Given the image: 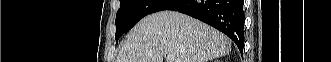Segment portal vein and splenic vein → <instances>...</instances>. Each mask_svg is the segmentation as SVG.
Returning <instances> with one entry per match:
<instances>
[{
	"label": "portal vein and splenic vein",
	"instance_id": "1",
	"mask_svg": "<svg viewBox=\"0 0 331 62\" xmlns=\"http://www.w3.org/2000/svg\"><path fill=\"white\" fill-rule=\"evenodd\" d=\"M174 61H175V56H173V55L167 56V62H174Z\"/></svg>",
	"mask_w": 331,
	"mask_h": 62
}]
</instances>
